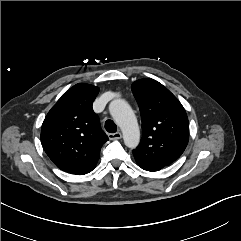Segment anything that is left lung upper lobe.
<instances>
[{
    "label": "left lung upper lobe",
    "instance_id": "obj_1",
    "mask_svg": "<svg viewBox=\"0 0 241 241\" xmlns=\"http://www.w3.org/2000/svg\"><path fill=\"white\" fill-rule=\"evenodd\" d=\"M142 118V138L133 155L147 171H159L184 152L189 123L184 107L161 83L140 79L132 84Z\"/></svg>",
    "mask_w": 241,
    "mask_h": 241
}]
</instances>
